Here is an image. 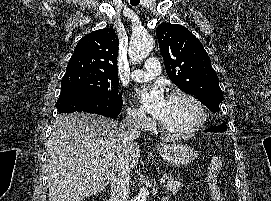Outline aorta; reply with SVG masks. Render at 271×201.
Wrapping results in <instances>:
<instances>
[{"mask_svg":"<svg viewBox=\"0 0 271 201\" xmlns=\"http://www.w3.org/2000/svg\"><path fill=\"white\" fill-rule=\"evenodd\" d=\"M154 39L148 34H137L131 38L129 45V57L132 61L138 62L147 57L154 48ZM148 191L140 188L133 201H146Z\"/></svg>","mask_w":271,"mask_h":201,"instance_id":"aorta-1","label":"aorta"}]
</instances>
